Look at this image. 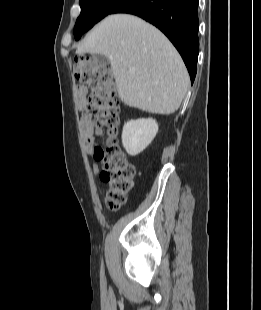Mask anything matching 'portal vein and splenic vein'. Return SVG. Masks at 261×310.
Returning <instances> with one entry per match:
<instances>
[{
    "instance_id": "portal-vein-and-splenic-vein-1",
    "label": "portal vein and splenic vein",
    "mask_w": 261,
    "mask_h": 310,
    "mask_svg": "<svg viewBox=\"0 0 261 310\" xmlns=\"http://www.w3.org/2000/svg\"><path fill=\"white\" fill-rule=\"evenodd\" d=\"M129 71H130L131 73H134V72H135V69H134V68H130Z\"/></svg>"
}]
</instances>
